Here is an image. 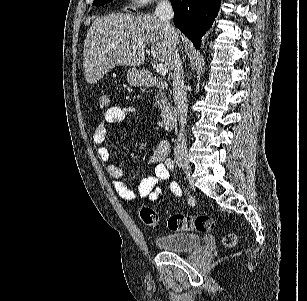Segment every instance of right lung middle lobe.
Segmentation results:
<instances>
[{
    "label": "right lung middle lobe",
    "instance_id": "obj_1",
    "mask_svg": "<svg viewBox=\"0 0 307 301\" xmlns=\"http://www.w3.org/2000/svg\"><path fill=\"white\" fill-rule=\"evenodd\" d=\"M110 1H112V0H94L93 5L94 6H101V5H104V4H106Z\"/></svg>",
    "mask_w": 307,
    "mask_h": 301
}]
</instances>
